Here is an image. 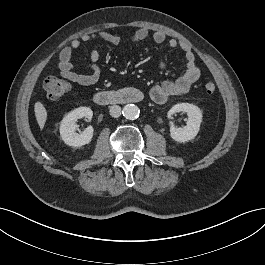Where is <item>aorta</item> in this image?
<instances>
[{"mask_svg": "<svg viewBox=\"0 0 265 265\" xmlns=\"http://www.w3.org/2000/svg\"><path fill=\"white\" fill-rule=\"evenodd\" d=\"M139 113V108L134 104H127L123 108V116L129 120H134L138 118Z\"/></svg>", "mask_w": 265, "mask_h": 265, "instance_id": "obj_1", "label": "aorta"}]
</instances>
